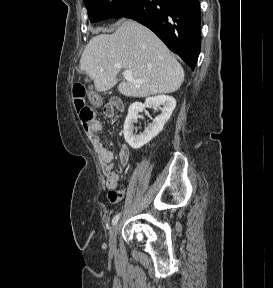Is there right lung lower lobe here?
<instances>
[{
    "label": "right lung lower lobe",
    "mask_w": 273,
    "mask_h": 288,
    "mask_svg": "<svg viewBox=\"0 0 273 288\" xmlns=\"http://www.w3.org/2000/svg\"><path fill=\"white\" fill-rule=\"evenodd\" d=\"M122 17L150 28L192 70L195 68L201 45L199 0H137Z\"/></svg>",
    "instance_id": "1"
}]
</instances>
